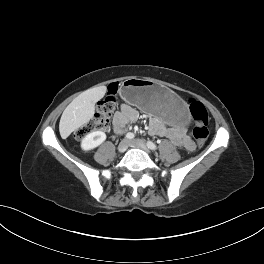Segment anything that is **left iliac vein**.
Masks as SVG:
<instances>
[{"instance_id":"obj_1","label":"left iliac vein","mask_w":264,"mask_h":264,"mask_svg":"<svg viewBox=\"0 0 264 264\" xmlns=\"http://www.w3.org/2000/svg\"><path fill=\"white\" fill-rule=\"evenodd\" d=\"M129 145H130V147H133V148H139V149H142V150H144V151L147 152V153L149 152V150H148V148H147L145 142L142 141V140H140V139L131 140V141L129 142Z\"/></svg>"}]
</instances>
